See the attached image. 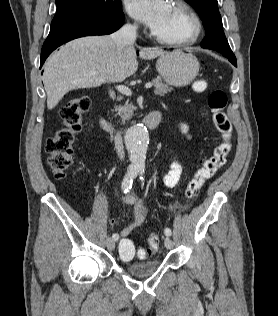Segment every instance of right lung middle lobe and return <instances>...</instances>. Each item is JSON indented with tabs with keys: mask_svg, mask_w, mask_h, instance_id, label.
Wrapping results in <instances>:
<instances>
[{
	"mask_svg": "<svg viewBox=\"0 0 278 316\" xmlns=\"http://www.w3.org/2000/svg\"><path fill=\"white\" fill-rule=\"evenodd\" d=\"M113 0H56L57 12L53 20L76 14L108 11L117 3Z\"/></svg>",
	"mask_w": 278,
	"mask_h": 316,
	"instance_id": "right-lung-middle-lobe-1",
	"label": "right lung middle lobe"
}]
</instances>
